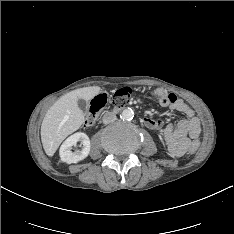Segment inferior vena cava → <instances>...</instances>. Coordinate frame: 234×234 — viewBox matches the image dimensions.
I'll list each match as a JSON object with an SVG mask.
<instances>
[{
    "mask_svg": "<svg viewBox=\"0 0 234 234\" xmlns=\"http://www.w3.org/2000/svg\"><path fill=\"white\" fill-rule=\"evenodd\" d=\"M102 120L104 124L112 123L116 120V115L113 112H107L103 115Z\"/></svg>",
    "mask_w": 234,
    "mask_h": 234,
    "instance_id": "inferior-vena-cava-1",
    "label": "inferior vena cava"
}]
</instances>
